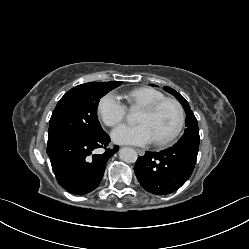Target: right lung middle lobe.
Listing matches in <instances>:
<instances>
[{
	"mask_svg": "<svg viewBox=\"0 0 249 249\" xmlns=\"http://www.w3.org/2000/svg\"><path fill=\"white\" fill-rule=\"evenodd\" d=\"M121 83L90 82L69 90L58 102L49 122L48 146L76 137H94L103 131L97 118L101 97Z\"/></svg>",
	"mask_w": 249,
	"mask_h": 249,
	"instance_id": "1",
	"label": "right lung middle lobe"
}]
</instances>
